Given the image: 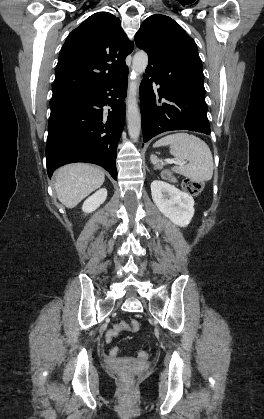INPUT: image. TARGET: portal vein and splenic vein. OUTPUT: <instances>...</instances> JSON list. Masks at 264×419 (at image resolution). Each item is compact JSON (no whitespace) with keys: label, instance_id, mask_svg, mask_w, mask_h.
Masks as SVG:
<instances>
[{"label":"portal vein and splenic vein","instance_id":"obj_1","mask_svg":"<svg viewBox=\"0 0 264 419\" xmlns=\"http://www.w3.org/2000/svg\"><path fill=\"white\" fill-rule=\"evenodd\" d=\"M164 161L169 164H173V163L179 164V165L185 164V162H179L178 160H174V159H165Z\"/></svg>","mask_w":264,"mask_h":419}]
</instances>
